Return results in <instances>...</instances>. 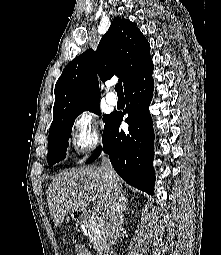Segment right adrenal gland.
Segmentation results:
<instances>
[{"instance_id": "1", "label": "right adrenal gland", "mask_w": 221, "mask_h": 255, "mask_svg": "<svg viewBox=\"0 0 221 255\" xmlns=\"http://www.w3.org/2000/svg\"><path fill=\"white\" fill-rule=\"evenodd\" d=\"M123 209H124V211H127V210H128V208H127V198H126V196H124Z\"/></svg>"}]
</instances>
